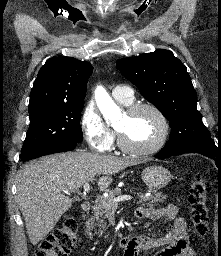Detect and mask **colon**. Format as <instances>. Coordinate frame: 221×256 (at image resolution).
Instances as JSON below:
<instances>
[{
    "mask_svg": "<svg viewBox=\"0 0 221 256\" xmlns=\"http://www.w3.org/2000/svg\"><path fill=\"white\" fill-rule=\"evenodd\" d=\"M206 199L205 180L201 175H196L190 185L188 201L193 228L200 237L206 236L209 229ZM77 228L74 219H66L41 241L34 256H68L76 246Z\"/></svg>",
    "mask_w": 221,
    "mask_h": 256,
    "instance_id": "5ec220e1",
    "label": "colon"
}]
</instances>
